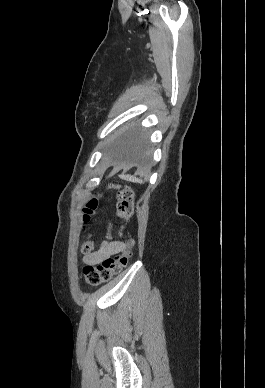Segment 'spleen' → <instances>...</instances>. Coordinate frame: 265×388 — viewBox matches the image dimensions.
<instances>
[{
    "instance_id": "spleen-1",
    "label": "spleen",
    "mask_w": 265,
    "mask_h": 388,
    "mask_svg": "<svg viewBox=\"0 0 265 388\" xmlns=\"http://www.w3.org/2000/svg\"><path fill=\"white\" fill-rule=\"evenodd\" d=\"M124 180H128V182H138V184H142V180H138V178H132V176H122Z\"/></svg>"
}]
</instances>
